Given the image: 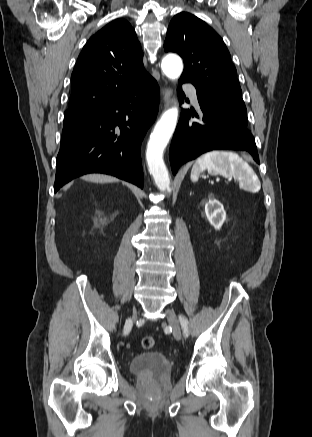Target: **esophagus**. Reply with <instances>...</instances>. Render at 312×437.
Instances as JSON below:
<instances>
[{
    "instance_id": "1",
    "label": "esophagus",
    "mask_w": 312,
    "mask_h": 437,
    "mask_svg": "<svg viewBox=\"0 0 312 437\" xmlns=\"http://www.w3.org/2000/svg\"><path fill=\"white\" fill-rule=\"evenodd\" d=\"M161 94H162V100H163L164 104L166 106L169 105L172 94H173L172 89L171 88H162Z\"/></svg>"
}]
</instances>
